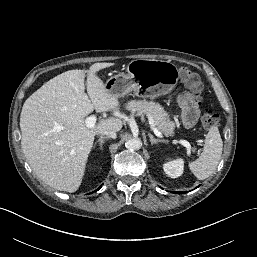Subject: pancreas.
I'll list each match as a JSON object with an SVG mask.
<instances>
[{
	"mask_svg": "<svg viewBox=\"0 0 257 257\" xmlns=\"http://www.w3.org/2000/svg\"><path fill=\"white\" fill-rule=\"evenodd\" d=\"M126 109L142 118L148 116L161 133L166 136L173 135L175 123L169 119V115L160 104L146 100H132L127 103Z\"/></svg>",
	"mask_w": 257,
	"mask_h": 257,
	"instance_id": "1",
	"label": "pancreas"
}]
</instances>
